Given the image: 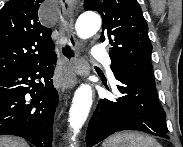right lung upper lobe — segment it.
<instances>
[{"label": "right lung upper lobe", "instance_id": "1", "mask_svg": "<svg viewBox=\"0 0 183 147\" xmlns=\"http://www.w3.org/2000/svg\"><path fill=\"white\" fill-rule=\"evenodd\" d=\"M42 0H9L0 11V77L40 64L54 53L51 28L42 25Z\"/></svg>", "mask_w": 183, "mask_h": 147}]
</instances>
